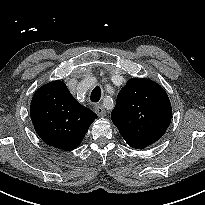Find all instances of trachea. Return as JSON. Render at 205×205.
<instances>
[{
	"mask_svg": "<svg viewBox=\"0 0 205 205\" xmlns=\"http://www.w3.org/2000/svg\"><path fill=\"white\" fill-rule=\"evenodd\" d=\"M101 88L99 86H96L90 96V100L94 103L98 102L101 98Z\"/></svg>",
	"mask_w": 205,
	"mask_h": 205,
	"instance_id": "1",
	"label": "trachea"
}]
</instances>
